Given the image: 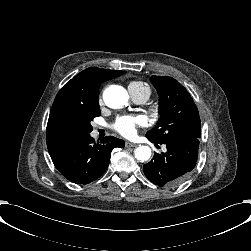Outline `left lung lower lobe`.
Instances as JSON below:
<instances>
[{
	"label": "left lung lower lobe",
	"mask_w": 251,
	"mask_h": 251,
	"mask_svg": "<svg viewBox=\"0 0 251 251\" xmlns=\"http://www.w3.org/2000/svg\"><path fill=\"white\" fill-rule=\"evenodd\" d=\"M147 138L155 143L147 136ZM167 152L155 153L152 160L144 165L145 176L154 184L172 187L184 181L194 169L198 158V139H182L166 143Z\"/></svg>",
	"instance_id": "obj_1"
}]
</instances>
